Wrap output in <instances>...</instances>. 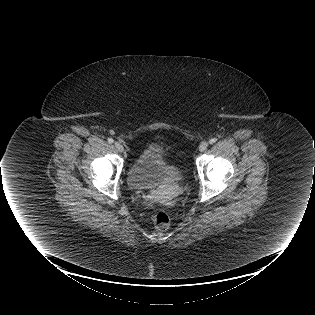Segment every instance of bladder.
I'll return each instance as SVG.
<instances>
[{"label":"bladder","instance_id":"1","mask_svg":"<svg viewBox=\"0 0 315 315\" xmlns=\"http://www.w3.org/2000/svg\"><path fill=\"white\" fill-rule=\"evenodd\" d=\"M182 170L167 159V150L159 144L145 148L133 161L127 182L133 189H152L165 182H180Z\"/></svg>","mask_w":315,"mask_h":315}]
</instances>
